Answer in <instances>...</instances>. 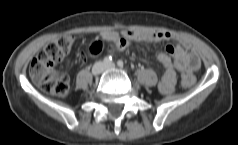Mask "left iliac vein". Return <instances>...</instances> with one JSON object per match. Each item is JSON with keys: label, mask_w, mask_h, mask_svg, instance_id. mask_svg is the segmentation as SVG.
<instances>
[{"label": "left iliac vein", "mask_w": 238, "mask_h": 145, "mask_svg": "<svg viewBox=\"0 0 238 145\" xmlns=\"http://www.w3.org/2000/svg\"><path fill=\"white\" fill-rule=\"evenodd\" d=\"M115 68H116V66L114 63L106 64L104 66V70H111V69H115Z\"/></svg>", "instance_id": "obj_1"}]
</instances>
